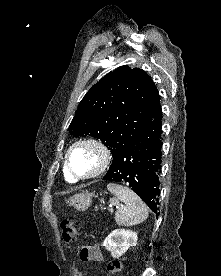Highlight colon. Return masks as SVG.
Listing matches in <instances>:
<instances>
[{"label":"colon","mask_w":221,"mask_h":276,"mask_svg":"<svg viewBox=\"0 0 221 276\" xmlns=\"http://www.w3.org/2000/svg\"><path fill=\"white\" fill-rule=\"evenodd\" d=\"M62 240L64 244H70L75 242L80 235L79 222L77 220H63L61 222ZM121 268L119 260H112L107 265L108 276H113Z\"/></svg>","instance_id":"5ec220e1"}]
</instances>
